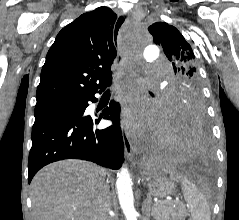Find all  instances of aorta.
Masks as SVG:
<instances>
[{
  "mask_svg": "<svg viewBox=\"0 0 239 220\" xmlns=\"http://www.w3.org/2000/svg\"><path fill=\"white\" fill-rule=\"evenodd\" d=\"M123 40H142L139 33H124ZM124 46H144V45H124ZM146 57L144 61H158L159 52L156 48H145ZM142 58V57H141ZM117 192L121 209L126 217V220H137V211L134 208V197L132 192V180L128 169L122 167L117 174Z\"/></svg>",
  "mask_w": 239,
  "mask_h": 220,
  "instance_id": "762f6f07",
  "label": "aorta"
}]
</instances>
